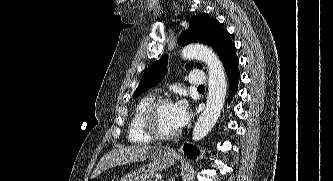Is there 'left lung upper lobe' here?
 <instances>
[{"label":"left lung upper lobe","instance_id":"5c2ea615","mask_svg":"<svg viewBox=\"0 0 333 181\" xmlns=\"http://www.w3.org/2000/svg\"><path fill=\"white\" fill-rule=\"evenodd\" d=\"M193 42L210 45L217 52L220 60H223L226 54L235 46L228 31L223 29L216 19L206 13L190 18L189 28L180 35L178 44L184 46ZM192 67L193 63L187 65V69ZM197 68H202V66L197 64ZM166 72L167 55H164L146 69L135 91L134 98L157 85L165 77Z\"/></svg>","mask_w":333,"mask_h":181}]
</instances>
